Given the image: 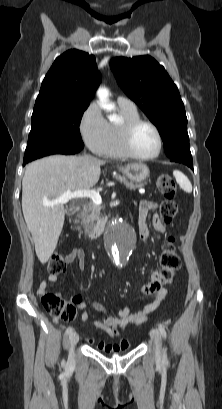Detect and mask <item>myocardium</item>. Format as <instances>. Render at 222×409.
<instances>
[{
    "label": "myocardium",
    "mask_w": 222,
    "mask_h": 409,
    "mask_svg": "<svg viewBox=\"0 0 222 409\" xmlns=\"http://www.w3.org/2000/svg\"><path fill=\"white\" fill-rule=\"evenodd\" d=\"M140 125H148L150 126L156 133L158 137V148L155 153L147 156L139 155L137 154L133 147H132V135L134 131L140 126ZM120 145L126 156L136 159V160H141V161H148V160H153L157 158L163 149V136L156 124L153 122L146 120V119H134L130 121H126L121 125L120 128Z\"/></svg>",
    "instance_id": "1"
}]
</instances>
